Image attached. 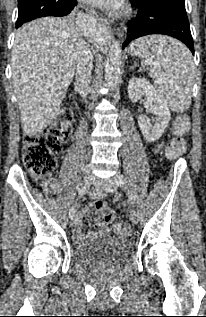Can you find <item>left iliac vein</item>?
Listing matches in <instances>:
<instances>
[{
	"instance_id": "left-iliac-vein-1",
	"label": "left iliac vein",
	"mask_w": 206,
	"mask_h": 317,
	"mask_svg": "<svg viewBox=\"0 0 206 317\" xmlns=\"http://www.w3.org/2000/svg\"><path fill=\"white\" fill-rule=\"evenodd\" d=\"M94 183L101 186L108 193H115L117 191V184L113 178L108 179H99L94 178ZM129 219L133 225H136L138 222V215L136 210L131 209L129 213Z\"/></svg>"
}]
</instances>
